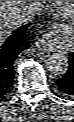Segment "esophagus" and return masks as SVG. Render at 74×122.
<instances>
[{"instance_id":"esophagus-1","label":"esophagus","mask_w":74,"mask_h":122,"mask_svg":"<svg viewBox=\"0 0 74 122\" xmlns=\"http://www.w3.org/2000/svg\"><path fill=\"white\" fill-rule=\"evenodd\" d=\"M38 50H47L48 49V40L47 38H40L35 43Z\"/></svg>"}]
</instances>
